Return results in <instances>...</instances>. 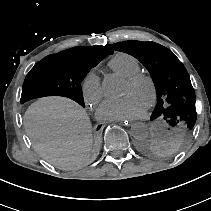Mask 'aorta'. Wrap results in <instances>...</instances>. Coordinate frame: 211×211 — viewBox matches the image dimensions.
<instances>
[{"mask_svg":"<svg viewBox=\"0 0 211 211\" xmlns=\"http://www.w3.org/2000/svg\"><path fill=\"white\" fill-rule=\"evenodd\" d=\"M124 88V83L116 76L106 77L102 82V91L107 98L120 97ZM131 134L136 140L144 139L148 136V128L144 123H134L131 127Z\"/></svg>","mask_w":211,"mask_h":211,"instance_id":"762f6f07","label":"aorta"}]
</instances>
